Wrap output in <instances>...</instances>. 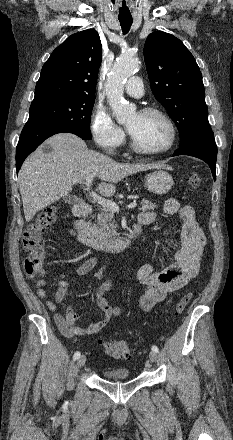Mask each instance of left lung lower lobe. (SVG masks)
<instances>
[{"instance_id":"left-lung-lower-lobe-1","label":"left lung lower lobe","mask_w":233,"mask_h":440,"mask_svg":"<svg viewBox=\"0 0 233 440\" xmlns=\"http://www.w3.org/2000/svg\"><path fill=\"white\" fill-rule=\"evenodd\" d=\"M178 155H189L202 159L209 165L212 175L214 179H216L215 166L217 159V146L213 132L198 136L193 140L180 145V148L173 154V156Z\"/></svg>"}]
</instances>
